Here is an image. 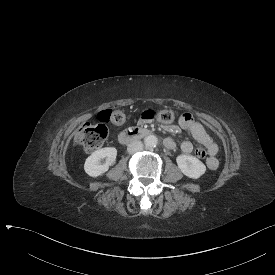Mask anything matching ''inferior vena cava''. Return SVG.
Instances as JSON below:
<instances>
[{
  "label": "inferior vena cava",
  "instance_id": "inferior-vena-cava-1",
  "mask_svg": "<svg viewBox=\"0 0 275 275\" xmlns=\"http://www.w3.org/2000/svg\"><path fill=\"white\" fill-rule=\"evenodd\" d=\"M143 149V143L141 141H133L127 146L128 153L140 152Z\"/></svg>",
  "mask_w": 275,
  "mask_h": 275
}]
</instances>
